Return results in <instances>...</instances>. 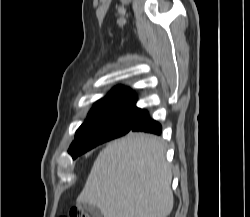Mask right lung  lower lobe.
Returning a JSON list of instances; mask_svg holds the SVG:
<instances>
[{"mask_svg":"<svg viewBox=\"0 0 250 217\" xmlns=\"http://www.w3.org/2000/svg\"><path fill=\"white\" fill-rule=\"evenodd\" d=\"M161 130V125L157 121L151 119L146 110H140V114L131 128V132L140 131L157 135L161 134Z\"/></svg>","mask_w":250,"mask_h":217,"instance_id":"1","label":"right lung lower lobe"}]
</instances>
